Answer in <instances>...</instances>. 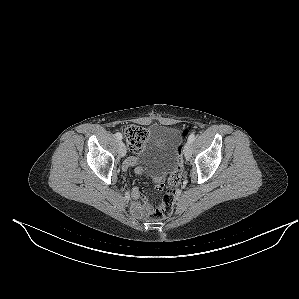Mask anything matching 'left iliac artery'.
Segmentation results:
<instances>
[{
    "mask_svg": "<svg viewBox=\"0 0 299 299\" xmlns=\"http://www.w3.org/2000/svg\"><path fill=\"white\" fill-rule=\"evenodd\" d=\"M194 139H195V134L192 133V134H190V136H189V138H188V142H189V143H192V142L194 141Z\"/></svg>",
    "mask_w": 299,
    "mask_h": 299,
    "instance_id": "obj_1",
    "label": "left iliac artery"
}]
</instances>
